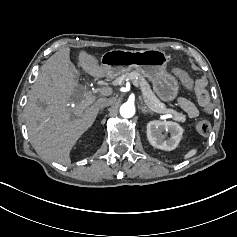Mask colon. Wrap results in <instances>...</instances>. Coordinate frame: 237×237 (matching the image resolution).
<instances>
[{"label": "colon", "mask_w": 237, "mask_h": 237, "mask_svg": "<svg viewBox=\"0 0 237 237\" xmlns=\"http://www.w3.org/2000/svg\"><path fill=\"white\" fill-rule=\"evenodd\" d=\"M176 75L178 78L181 80V82L187 87L188 89H193L194 88V83L190 76L183 70L177 69L175 71ZM204 105L209 108L210 103L206 99H204ZM195 129L196 131L201 134V135H207L209 134L211 130V124L208 120H198L195 122Z\"/></svg>", "instance_id": "1"}]
</instances>
